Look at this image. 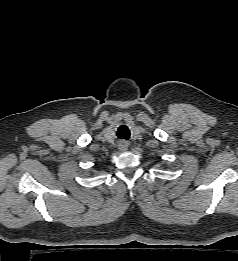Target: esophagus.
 Here are the masks:
<instances>
[{"label":"esophagus","instance_id":"obj_1","mask_svg":"<svg viewBox=\"0 0 238 261\" xmlns=\"http://www.w3.org/2000/svg\"><path fill=\"white\" fill-rule=\"evenodd\" d=\"M128 143L125 141H122L119 143L118 148L120 151H126L128 149Z\"/></svg>","mask_w":238,"mask_h":261}]
</instances>
